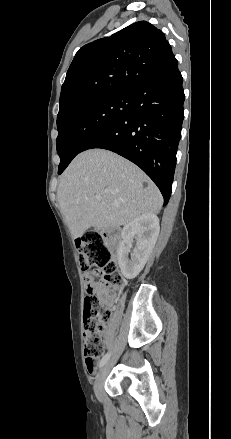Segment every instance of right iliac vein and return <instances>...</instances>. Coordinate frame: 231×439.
Instances as JSON below:
<instances>
[{
  "label": "right iliac vein",
  "instance_id": "1",
  "mask_svg": "<svg viewBox=\"0 0 231 439\" xmlns=\"http://www.w3.org/2000/svg\"><path fill=\"white\" fill-rule=\"evenodd\" d=\"M112 364H113V361H110L107 364H105L101 368V370H100V372L98 374V377H97V379L95 381L94 392H95L96 397L99 398V399L102 398V395H103V384H104V381H105V379H106V377L108 375V372H109L110 367H111Z\"/></svg>",
  "mask_w": 231,
  "mask_h": 439
}]
</instances>
